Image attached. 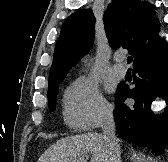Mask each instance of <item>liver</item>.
I'll use <instances>...</instances> for the list:
<instances>
[{
  "instance_id": "obj_1",
  "label": "liver",
  "mask_w": 168,
  "mask_h": 162,
  "mask_svg": "<svg viewBox=\"0 0 168 162\" xmlns=\"http://www.w3.org/2000/svg\"><path fill=\"white\" fill-rule=\"evenodd\" d=\"M109 162V154L99 133H88L61 139L51 145L39 158L38 162Z\"/></svg>"
}]
</instances>
